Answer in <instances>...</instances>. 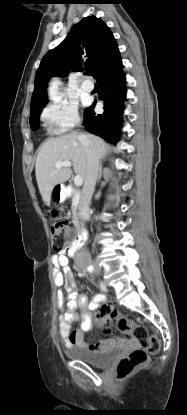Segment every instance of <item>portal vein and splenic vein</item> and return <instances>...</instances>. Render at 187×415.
I'll return each instance as SVG.
<instances>
[{
	"instance_id": "1",
	"label": "portal vein and splenic vein",
	"mask_w": 187,
	"mask_h": 415,
	"mask_svg": "<svg viewBox=\"0 0 187 415\" xmlns=\"http://www.w3.org/2000/svg\"><path fill=\"white\" fill-rule=\"evenodd\" d=\"M72 165L71 161H62L55 163L56 168H61L63 166L70 167ZM74 184L75 186L79 187L83 184V178L80 175H76L74 177Z\"/></svg>"
}]
</instances>
